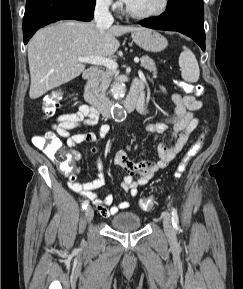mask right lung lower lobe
Listing matches in <instances>:
<instances>
[{
  "label": "right lung lower lobe",
  "instance_id": "obj_1",
  "mask_svg": "<svg viewBox=\"0 0 243 289\" xmlns=\"http://www.w3.org/2000/svg\"><path fill=\"white\" fill-rule=\"evenodd\" d=\"M94 8L95 0H27L23 18L24 43L49 23L64 19L90 21Z\"/></svg>",
  "mask_w": 243,
  "mask_h": 289
}]
</instances>
